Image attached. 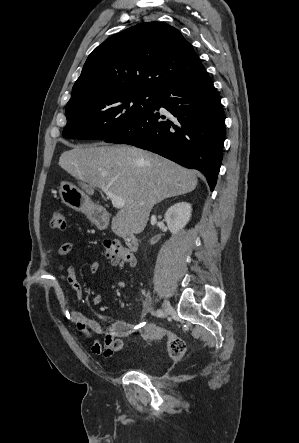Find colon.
Instances as JSON below:
<instances>
[{
    "instance_id": "obj_1",
    "label": "colon",
    "mask_w": 299,
    "mask_h": 443,
    "mask_svg": "<svg viewBox=\"0 0 299 443\" xmlns=\"http://www.w3.org/2000/svg\"><path fill=\"white\" fill-rule=\"evenodd\" d=\"M51 227L55 230H65L66 220L62 211H55L51 218ZM105 254L107 259L117 266H124L134 263L132 250L124 246L119 240L108 239L104 242ZM137 328L136 333L145 340H167V350L169 356L174 360H181L186 352V343L180 336L159 327L153 323L139 322L134 324Z\"/></svg>"
}]
</instances>
